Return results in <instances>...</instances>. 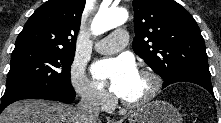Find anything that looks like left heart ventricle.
I'll use <instances>...</instances> for the list:
<instances>
[{
  "label": "left heart ventricle",
  "instance_id": "left-heart-ventricle-1",
  "mask_svg": "<svg viewBox=\"0 0 221 123\" xmlns=\"http://www.w3.org/2000/svg\"><path fill=\"white\" fill-rule=\"evenodd\" d=\"M150 88V79L138 72L127 86L121 98L129 102L139 101L148 94Z\"/></svg>",
  "mask_w": 221,
  "mask_h": 123
}]
</instances>
